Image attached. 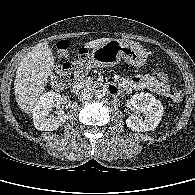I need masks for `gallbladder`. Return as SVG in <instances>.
Segmentation results:
<instances>
[{"label": "gallbladder", "mask_w": 195, "mask_h": 195, "mask_svg": "<svg viewBox=\"0 0 195 195\" xmlns=\"http://www.w3.org/2000/svg\"><path fill=\"white\" fill-rule=\"evenodd\" d=\"M57 55L58 57H65V58H68L69 57V52L68 50H57Z\"/></svg>", "instance_id": "obj_1"}]
</instances>
